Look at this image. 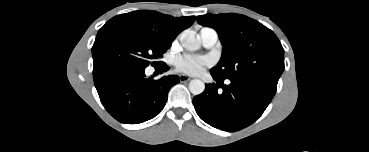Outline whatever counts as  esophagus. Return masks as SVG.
Listing matches in <instances>:
<instances>
[{"label": "esophagus", "mask_w": 369, "mask_h": 152, "mask_svg": "<svg viewBox=\"0 0 369 152\" xmlns=\"http://www.w3.org/2000/svg\"><path fill=\"white\" fill-rule=\"evenodd\" d=\"M179 79L181 82H188L191 78L188 77L187 75L181 74L179 75Z\"/></svg>", "instance_id": "esophagus-1"}]
</instances>
